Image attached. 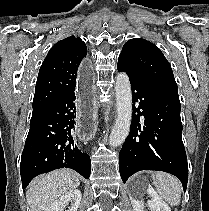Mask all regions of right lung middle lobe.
<instances>
[{
    "instance_id": "obj_1",
    "label": "right lung middle lobe",
    "mask_w": 209,
    "mask_h": 211,
    "mask_svg": "<svg viewBox=\"0 0 209 211\" xmlns=\"http://www.w3.org/2000/svg\"><path fill=\"white\" fill-rule=\"evenodd\" d=\"M37 114H38V112H33L31 120H33L37 116Z\"/></svg>"
}]
</instances>
